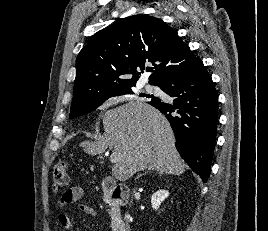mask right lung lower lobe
Instances as JSON below:
<instances>
[{"label":"right lung lower lobe","mask_w":268,"mask_h":231,"mask_svg":"<svg viewBox=\"0 0 268 231\" xmlns=\"http://www.w3.org/2000/svg\"><path fill=\"white\" fill-rule=\"evenodd\" d=\"M160 87L173 98V103L153 98L149 104L166 116L181 157L206 182L218 124V97L212 78L201 62L192 70L166 80Z\"/></svg>","instance_id":"98d812e1"}]
</instances>
